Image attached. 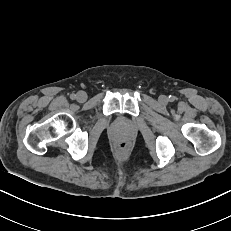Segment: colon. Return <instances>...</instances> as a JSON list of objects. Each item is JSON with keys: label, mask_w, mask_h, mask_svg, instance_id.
Returning a JSON list of instances; mask_svg holds the SVG:
<instances>
[{"label": "colon", "mask_w": 231, "mask_h": 231, "mask_svg": "<svg viewBox=\"0 0 231 231\" xmlns=\"http://www.w3.org/2000/svg\"><path fill=\"white\" fill-rule=\"evenodd\" d=\"M117 147L121 151H125L128 148V143L125 141H121L117 144Z\"/></svg>", "instance_id": "obj_1"}]
</instances>
